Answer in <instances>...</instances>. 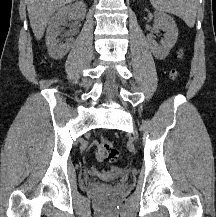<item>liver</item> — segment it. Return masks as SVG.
<instances>
[{"label":"liver","mask_w":216,"mask_h":217,"mask_svg":"<svg viewBox=\"0 0 216 217\" xmlns=\"http://www.w3.org/2000/svg\"><path fill=\"white\" fill-rule=\"evenodd\" d=\"M73 0H27V11L30 25L37 40H40L45 32L47 23L52 14Z\"/></svg>","instance_id":"6515ba94"}]
</instances>
